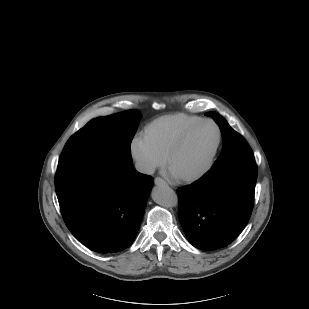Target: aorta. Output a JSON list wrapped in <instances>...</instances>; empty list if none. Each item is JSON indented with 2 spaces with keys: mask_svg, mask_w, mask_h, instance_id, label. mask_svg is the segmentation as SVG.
I'll return each mask as SVG.
<instances>
[{
  "mask_svg": "<svg viewBox=\"0 0 309 309\" xmlns=\"http://www.w3.org/2000/svg\"><path fill=\"white\" fill-rule=\"evenodd\" d=\"M151 196L154 202L163 207H174L178 203L177 194L166 184L155 186Z\"/></svg>",
  "mask_w": 309,
  "mask_h": 309,
  "instance_id": "aorta-1",
  "label": "aorta"
}]
</instances>
